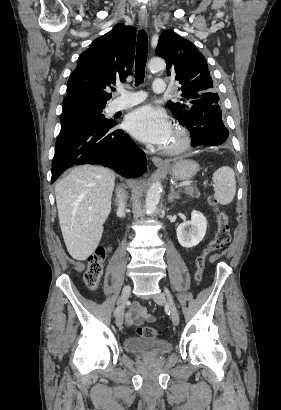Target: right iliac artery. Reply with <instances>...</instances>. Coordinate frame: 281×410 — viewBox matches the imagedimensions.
I'll return each instance as SVG.
<instances>
[{
    "label": "right iliac artery",
    "mask_w": 281,
    "mask_h": 410,
    "mask_svg": "<svg viewBox=\"0 0 281 410\" xmlns=\"http://www.w3.org/2000/svg\"><path fill=\"white\" fill-rule=\"evenodd\" d=\"M120 306L116 309V312H115V314H117L118 312H119V310H120Z\"/></svg>",
    "instance_id": "obj_1"
}]
</instances>
